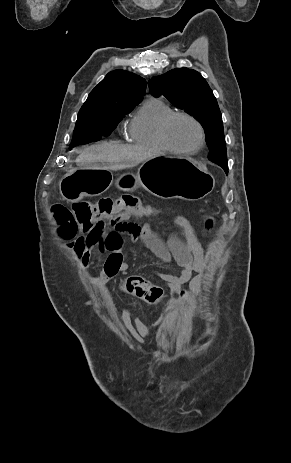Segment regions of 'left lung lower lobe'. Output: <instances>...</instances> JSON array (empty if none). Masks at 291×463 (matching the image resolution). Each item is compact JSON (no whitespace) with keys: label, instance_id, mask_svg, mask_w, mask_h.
<instances>
[{"label":"left lung lower lobe","instance_id":"0a47b994","mask_svg":"<svg viewBox=\"0 0 291 463\" xmlns=\"http://www.w3.org/2000/svg\"><path fill=\"white\" fill-rule=\"evenodd\" d=\"M218 165L221 166V167L224 169V171H225L226 173H228V164H222V163H220V164H218Z\"/></svg>","mask_w":291,"mask_h":463}]
</instances>
